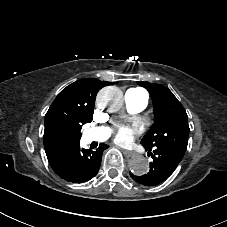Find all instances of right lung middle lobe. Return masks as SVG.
<instances>
[{
    "label": "right lung middle lobe",
    "instance_id": "right-lung-middle-lobe-1",
    "mask_svg": "<svg viewBox=\"0 0 227 227\" xmlns=\"http://www.w3.org/2000/svg\"><path fill=\"white\" fill-rule=\"evenodd\" d=\"M94 105L76 100L63 101L45 122V130L55 138L68 144H77L81 138V128L93 119Z\"/></svg>",
    "mask_w": 227,
    "mask_h": 227
}]
</instances>
